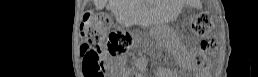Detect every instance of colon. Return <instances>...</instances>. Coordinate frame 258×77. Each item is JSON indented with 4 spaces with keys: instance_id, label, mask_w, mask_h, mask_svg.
Returning a JSON list of instances; mask_svg holds the SVG:
<instances>
[{
    "instance_id": "obj_1",
    "label": "colon",
    "mask_w": 258,
    "mask_h": 77,
    "mask_svg": "<svg viewBox=\"0 0 258 77\" xmlns=\"http://www.w3.org/2000/svg\"><path fill=\"white\" fill-rule=\"evenodd\" d=\"M110 18L105 14H87L81 28L85 42L81 46L85 77H99L102 73L101 52L107 48L111 53H122L132 43V36L127 31H111ZM193 31L201 38V51L206 56H213L217 41L211 35L212 22L209 14L201 13L191 21Z\"/></svg>"
}]
</instances>
